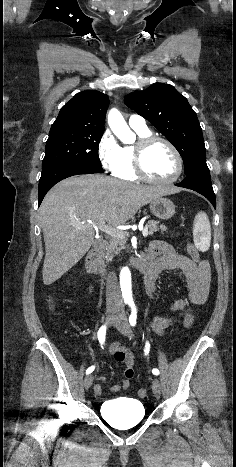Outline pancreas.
<instances>
[{"mask_svg":"<svg viewBox=\"0 0 236 467\" xmlns=\"http://www.w3.org/2000/svg\"><path fill=\"white\" fill-rule=\"evenodd\" d=\"M149 231V235H153L154 232L161 231L162 233L167 230V228L163 224H159L158 221L149 220L146 226ZM126 240L124 238H111L109 241V246L106 252V260L111 261L114 254L118 255L122 249H125Z\"/></svg>","mask_w":236,"mask_h":467,"instance_id":"obj_1","label":"pancreas"}]
</instances>
